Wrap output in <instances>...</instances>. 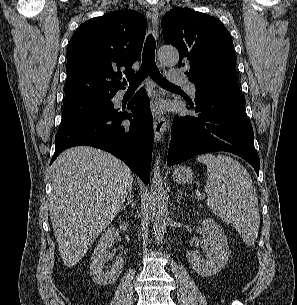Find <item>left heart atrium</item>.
Listing matches in <instances>:
<instances>
[{
  "label": "left heart atrium",
  "instance_id": "obj_1",
  "mask_svg": "<svg viewBox=\"0 0 297 305\" xmlns=\"http://www.w3.org/2000/svg\"><path fill=\"white\" fill-rule=\"evenodd\" d=\"M158 108H159L158 106H155V107H154L155 110H157Z\"/></svg>",
  "mask_w": 297,
  "mask_h": 305
}]
</instances>
